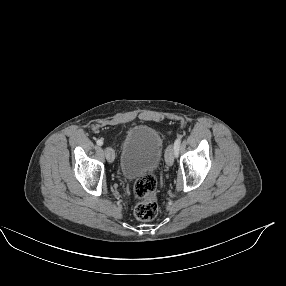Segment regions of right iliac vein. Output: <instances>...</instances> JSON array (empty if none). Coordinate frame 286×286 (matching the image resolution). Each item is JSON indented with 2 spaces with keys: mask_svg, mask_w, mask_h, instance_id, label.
Listing matches in <instances>:
<instances>
[{
  "mask_svg": "<svg viewBox=\"0 0 286 286\" xmlns=\"http://www.w3.org/2000/svg\"><path fill=\"white\" fill-rule=\"evenodd\" d=\"M105 156L108 162L112 163L115 159V152L111 147H106L105 150Z\"/></svg>",
  "mask_w": 286,
  "mask_h": 286,
  "instance_id": "1",
  "label": "right iliac vein"
}]
</instances>
